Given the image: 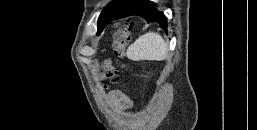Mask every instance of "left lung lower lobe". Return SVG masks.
<instances>
[{"mask_svg": "<svg viewBox=\"0 0 257 130\" xmlns=\"http://www.w3.org/2000/svg\"><path fill=\"white\" fill-rule=\"evenodd\" d=\"M129 15H138L148 22H157L163 27H167L166 16L162 12L158 11L155 4L149 0H129L125 5L116 8L113 11L107 18L106 23L111 19H117ZM103 29L104 28L98 29V34H100Z\"/></svg>", "mask_w": 257, "mask_h": 130, "instance_id": "obj_1", "label": "left lung lower lobe"}]
</instances>
